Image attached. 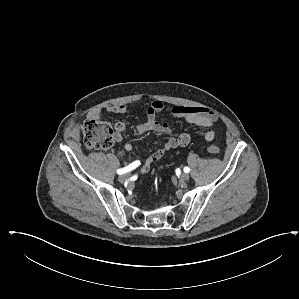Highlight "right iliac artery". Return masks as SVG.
<instances>
[{"label":"right iliac artery","mask_w":299,"mask_h":299,"mask_svg":"<svg viewBox=\"0 0 299 299\" xmlns=\"http://www.w3.org/2000/svg\"><path fill=\"white\" fill-rule=\"evenodd\" d=\"M139 165H140V161H135V162L131 163L130 165H128L125 168L118 169L117 174L122 175L124 173H127V172L135 169Z\"/></svg>","instance_id":"82829eb1"}]
</instances>
